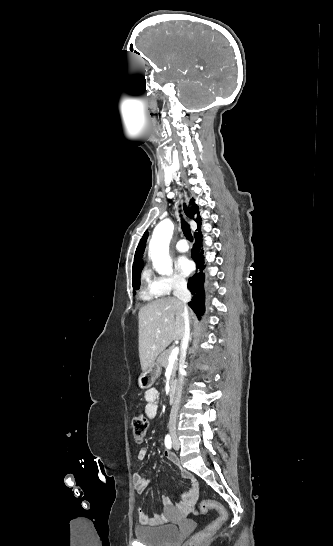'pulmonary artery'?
<instances>
[{"mask_svg": "<svg viewBox=\"0 0 333 546\" xmlns=\"http://www.w3.org/2000/svg\"><path fill=\"white\" fill-rule=\"evenodd\" d=\"M175 248L178 252H187L189 249L188 244L184 239L179 240L176 243Z\"/></svg>", "mask_w": 333, "mask_h": 546, "instance_id": "pulmonary-artery-1", "label": "pulmonary artery"}]
</instances>
